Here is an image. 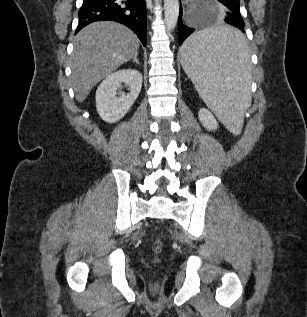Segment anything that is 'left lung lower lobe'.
<instances>
[{
  "mask_svg": "<svg viewBox=\"0 0 307 317\" xmlns=\"http://www.w3.org/2000/svg\"><path fill=\"white\" fill-rule=\"evenodd\" d=\"M223 4V10L225 13L224 21L232 26H235L240 31L244 32V21L241 17V14L238 13L235 8H233L226 0H218ZM182 5L180 3V12H179V22H178V30H179V45L183 43V41L195 31V28H192L191 24L186 23L183 24L182 21ZM239 31V32H240ZM241 36L235 39H228L222 43V49L228 55H235L240 51L244 41V35L240 32Z\"/></svg>",
  "mask_w": 307,
  "mask_h": 317,
  "instance_id": "1",
  "label": "left lung lower lobe"
}]
</instances>
